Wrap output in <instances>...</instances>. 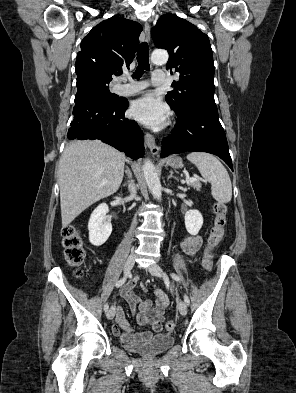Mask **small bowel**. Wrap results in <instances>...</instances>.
I'll return each instance as SVG.
<instances>
[{"mask_svg":"<svg viewBox=\"0 0 296 393\" xmlns=\"http://www.w3.org/2000/svg\"><path fill=\"white\" fill-rule=\"evenodd\" d=\"M203 239L198 235H191L185 237L181 243V250L189 255H195L202 247ZM139 278L136 277L132 282L128 283L122 290L121 296L127 301L131 312L135 315L137 322L140 325H151L154 332L162 330V322L164 320V313L169 305V298L167 294L161 289L154 290L156 299H144L139 297L134 288L137 285ZM141 288L146 289V285L141 283ZM116 318L112 326L113 332L119 336L124 343H136L140 341H147L152 337V332L145 331L141 333H133L129 331V323L125 316L123 309L120 306L115 307Z\"/></svg>","mask_w":296,"mask_h":393,"instance_id":"small-bowel-1","label":"small bowel"}]
</instances>
